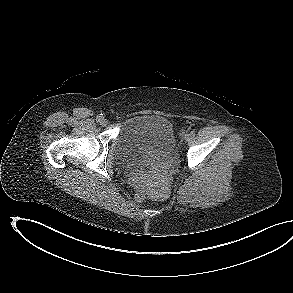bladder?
Here are the masks:
<instances>
[{
	"label": "bladder",
	"instance_id": "bladder-1",
	"mask_svg": "<svg viewBox=\"0 0 293 293\" xmlns=\"http://www.w3.org/2000/svg\"><path fill=\"white\" fill-rule=\"evenodd\" d=\"M177 147L173 124L160 115H135L121 125L116 139V161L127 167H160Z\"/></svg>",
	"mask_w": 293,
	"mask_h": 293
}]
</instances>
